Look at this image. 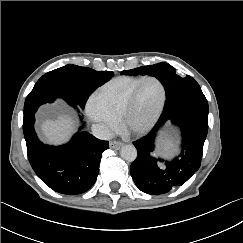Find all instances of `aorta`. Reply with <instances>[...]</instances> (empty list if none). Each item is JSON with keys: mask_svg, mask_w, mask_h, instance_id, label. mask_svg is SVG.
Returning a JSON list of instances; mask_svg holds the SVG:
<instances>
[{"mask_svg": "<svg viewBox=\"0 0 243 243\" xmlns=\"http://www.w3.org/2000/svg\"><path fill=\"white\" fill-rule=\"evenodd\" d=\"M120 155L124 160L133 162L137 158V149L133 145H124L120 150Z\"/></svg>", "mask_w": 243, "mask_h": 243, "instance_id": "762f6f07", "label": "aorta"}]
</instances>
